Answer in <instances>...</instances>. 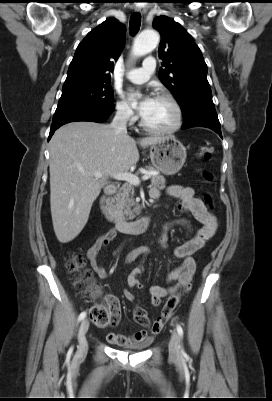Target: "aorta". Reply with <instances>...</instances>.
I'll return each mask as SVG.
<instances>
[{
	"instance_id": "762f6f07",
	"label": "aorta",
	"mask_w": 272,
	"mask_h": 401,
	"mask_svg": "<svg viewBox=\"0 0 272 401\" xmlns=\"http://www.w3.org/2000/svg\"><path fill=\"white\" fill-rule=\"evenodd\" d=\"M159 43V34L156 31H144L135 39L132 53L135 56H143L150 53Z\"/></svg>"
}]
</instances>
